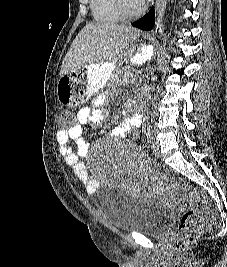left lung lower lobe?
Returning a JSON list of instances; mask_svg holds the SVG:
<instances>
[{
    "label": "left lung lower lobe",
    "mask_w": 227,
    "mask_h": 267,
    "mask_svg": "<svg viewBox=\"0 0 227 267\" xmlns=\"http://www.w3.org/2000/svg\"><path fill=\"white\" fill-rule=\"evenodd\" d=\"M154 9L153 7L151 8V10L143 17L141 18L140 20L132 23V25L134 27H137L139 29H142V30H152V27L154 25Z\"/></svg>",
    "instance_id": "0a47b994"
}]
</instances>
